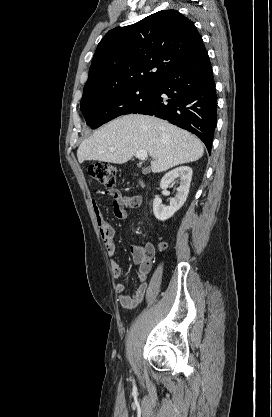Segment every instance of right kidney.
Segmentation results:
<instances>
[{
  "instance_id": "obj_1",
  "label": "right kidney",
  "mask_w": 272,
  "mask_h": 417,
  "mask_svg": "<svg viewBox=\"0 0 272 417\" xmlns=\"http://www.w3.org/2000/svg\"><path fill=\"white\" fill-rule=\"evenodd\" d=\"M177 178L180 179V185L176 196L170 200V206H164L160 197H156L153 201L154 216L160 221L169 219L184 205L189 193L192 169L188 166H181L169 171L161 179L160 188H168Z\"/></svg>"
}]
</instances>
